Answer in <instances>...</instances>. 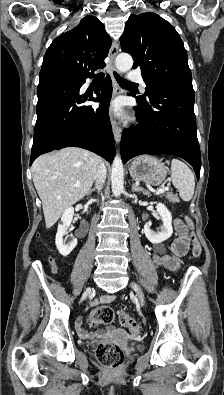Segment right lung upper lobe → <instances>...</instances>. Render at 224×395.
I'll use <instances>...</instances> for the list:
<instances>
[{
  "label": "right lung upper lobe",
  "instance_id": "obj_1",
  "mask_svg": "<svg viewBox=\"0 0 224 395\" xmlns=\"http://www.w3.org/2000/svg\"><path fill=\"white\" fill-rule=\"evenodd\" d=\"M110 47L104 25L96 17L86 16L76 27L55 38L45 53L42 68L54 66L74 76H92L89 71L93 67L105 66Z\"/></svg>",
  "mask_w": 224,
  "mask_h": 395
}]
</instances>
